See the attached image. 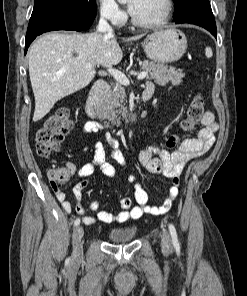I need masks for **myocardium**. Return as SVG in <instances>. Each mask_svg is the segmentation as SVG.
I'll return each instance as SVG.
<instances>
[{
  "mask_svg": "<svg viewBox=\"0 0 247 296\" xmlns=\"http://www.w3.org/2000/svg\"><path fill=\"white\" fill-rule=\"evenodd\" d=\"M163 6H164L163 13H162L161 17L158 18L157 20L152 21V22H140L132 15L131 22L136 27H139L142 29H155V28L162 27L170 19V16H171L172 10H173V1L172 0H163Z\"/></svg>",
  "mask_w": 247,
  "mask_h": 296,
  "instance_id": "obj_1",
  "label": "myocardium"
}]
</instances>
